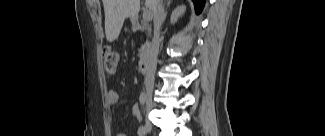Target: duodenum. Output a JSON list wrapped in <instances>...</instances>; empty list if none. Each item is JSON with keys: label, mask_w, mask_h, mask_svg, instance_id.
Wrapping results in <instances>:
<instances>
[{"label": "duodenum", "mask_w": 325, "mask_h": 136, "mask_svg": "<svg viewBox=\"0 0 325 136\" xmlns=\"http://www.w3.org/2000/svg\"><path fill=\"white\" fill-rule=\"evenodd\" d=\"M143 25H140L139 23H137V27L141 28ZM153 51V43L150 40H147L145 45H144V49H143V53L141 55V58L139 60V64H138V68L140 71L144 72L149 64V58L150 55Z\"/></svg>", "instance_id": "duodenum-1"}]
</instances>
